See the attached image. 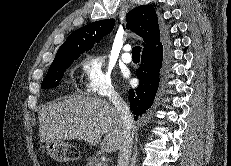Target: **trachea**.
Instances as JSON below:
<instances>
[{"label":"trachea","mask_w":231,"mask_h":166,"mask_svg":"<svg viewBox=\"0 0 231 166\" xmlns=\"http://www.w3.org/2000/svg\"><path fill=\"white\" fill-rule=\"evenodd\" d=\"M140 53H141V47L140 46L133 47V49H132V56L133 57L140 58V55H141Z\"/></svg>","instance_id":"1"}]
</instances>
